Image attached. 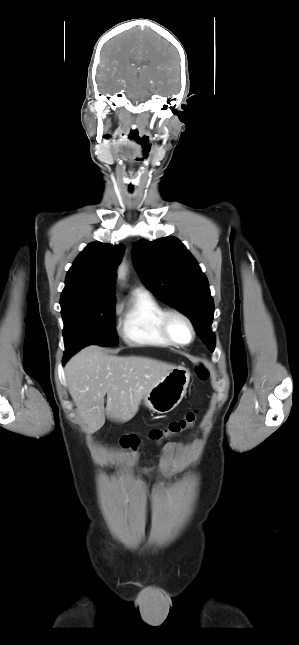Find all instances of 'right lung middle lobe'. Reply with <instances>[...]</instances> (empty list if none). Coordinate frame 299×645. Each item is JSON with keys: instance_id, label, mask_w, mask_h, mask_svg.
<instances>
[{"instance_id": "right-lung-middle-lobe-1", "label": "right lung middle lobe", "mask_w": 299, "mask_h": 645, "mask_svg": "<svg viewBox=\"0 0 299 645\" xmlns=\"http://www.w3.org/2000/svg\"><path fill=\"white\" fill-rule=\"evenodd\" d=\"M61 314L65 343L63 360L90 344H118L114 329V298L67 301L61 304Z\"/></svg>"}]
</instances>
